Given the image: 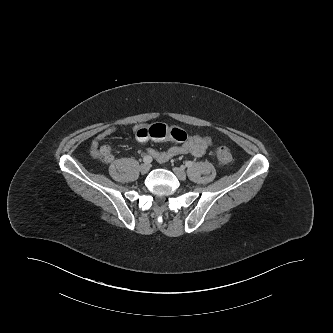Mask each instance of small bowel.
Here are the masks:
<instances>
[{
  "mask_svg": "<svg viewBox=\"0 0 333 333\" xmlns=\"http://www.w3.org/2000/svg\"><path fill=\"white\" fill-rule=\"evenodd\" d=\"M139 127H136V132ZM116 132L115 127H109L100 132L91 142L90 153L93 158L98 159L104 163H111L114 160L111 147L102 144V142ZM213 142L209 136L201 134L187 135L185 141L181 142L178 146H172L166 151H158L154 148L148 147L147 153L154 157L159 162H166L174 157L192 155L194 157H201L212 146Z\"/></svg>",
  "mask_w": 333,
  "mask_h": 333,
  "instance_id": "obj_1",
  "label": "small bowel"
}]
</instances>
